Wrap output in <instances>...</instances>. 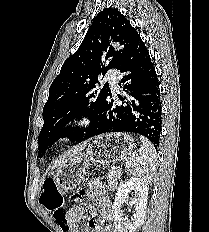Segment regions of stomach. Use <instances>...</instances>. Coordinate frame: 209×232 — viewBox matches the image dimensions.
<instances>
[{
  "mask_svg": "<svg viewBox=\"0 0 209 232\" xmlns=\"http://www.w3.org/2000/svg\"><path fill=\"white\" fill-rule=\"evenodd\" d=\"M135 148L133 138L126 133L98 136L83 153L61 165L54 176L56 184L64 190L79 185L91 164H108L125 159Z\"/></svg>",
  "mask_w": 209,
  "mask_h": 232,
  "instance_id": "obj_1",
  "label": "stomach"
}]
</instances>
